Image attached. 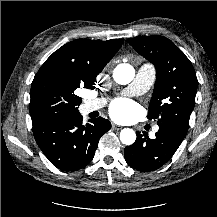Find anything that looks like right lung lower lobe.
Instances as JSON below:
<instances>
[{
    "instance_id": "98d812e1",
    "label": "right lung lower lobe",
    "mask_w": 217,
    "mask_h": 217,
    "mask_svg": "<svg viewBox=\"0 0 217 217\" xmlns=\"http://www.w3.org/2000/svg\"><path fill=\"white\" fill-rule=\"evenodd\" d=\"M111 128L107 119L97 118L83 124L80 113L33 125L35 140L57 168L79 170L93 159L100 137Z\"/></svg>"
}]
</instances>
